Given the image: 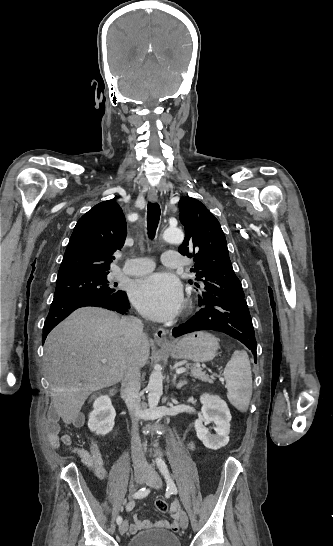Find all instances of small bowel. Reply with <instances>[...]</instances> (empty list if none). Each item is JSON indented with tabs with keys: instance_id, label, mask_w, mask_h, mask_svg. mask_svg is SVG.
Instances as JSON below:
<instances>
[{
	"instance_id": "1",
	"label": "small bowel",
	"mask_w": 333,
	"mask_h": 546,
	"mask_svg": "<svg viewBox=\"0 0 333 546\" xmlns=\"http://www.w3.org/2000/svg\"><path fill=\"white\" fill-rule=\"evenodd\" d=\"M74 425L80 426L82 424V419L79 417L73 422ZM48 440L49 443L54 447L59 446H65L71 451L77 453L86 467L91 470L95 475L101 477L104 475L105 470L103 466V461L98 449L97 443L91 439L90 442V450H86L84 448L74 447L72 443V439L67 434H61V429L59 425V419L57 417H52L49 420L48 423ZM190 447L194 449V445L190 443ZM134 508V502L130 501L126 504L127 511H131ZM179 505L178 503H174L171 506V516H172V522H168L166 520L160 521L158 523L159 526L165 527V528H173L175 531L177 530V525L179 523ZM152 523L150 521L140 520L135 516L134 523H132L129 527L130 533H136L142 528L149 527Z\"/></svg>"
}]
</instances>
